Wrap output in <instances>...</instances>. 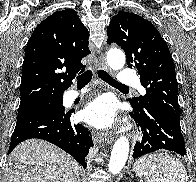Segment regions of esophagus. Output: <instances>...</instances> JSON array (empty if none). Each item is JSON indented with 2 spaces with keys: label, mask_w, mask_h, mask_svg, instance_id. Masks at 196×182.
<instances>
[{
  "label": "esophagus",
  "mask_w": 196,
  "mask_h": 182,
  "mask_svg": "<svg viewBox=\"0 0 196 182\" xmlns=\"http://www.w3.org/2000/svg\"><path fill=\"white\" fill-rule=\"evenodd\" d=\"M99 66L102 69L106 70V71L108 70V66H107V63H106L105 58H104L103 55L99 56ZM112 135H113L112 131H108V132L102 133L101 139H105L107 141V143H111Z\"/></svg>",
  "instance_id": "34e87169"
}]
</instances>
